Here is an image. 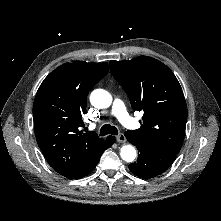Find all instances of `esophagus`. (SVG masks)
<instances>
[{
	"instance_id": "1",
	"label": "esophagus",
	"mask_w": 221,
	"mask_h": 221,
	"mask_svg": "<svg viewBox=\"0 0 221 221\" xmlns=\"http://www.w3.org/2000/svg\"><path fill=\"white\" fill-rule=\"evenodd\" d=\"M116 140L119 143H124L126 141V137L124 136V134L121 133V134L116 136Z\"/></svg>"
}]
</instances>
